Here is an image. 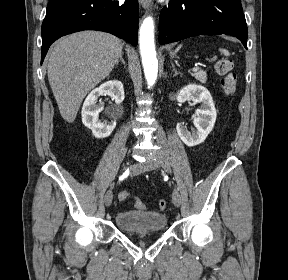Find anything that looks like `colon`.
<instances>
[{"instance_id": "5ec220e1", "label": "colon", "mask_w": 288, "mask_h": 280, "mask_svg": "<svg viewBox=\"0 0 288 280\" xmlns=\"http://www.w3.org/2000/svg\"><path fill=\"white\" fill-rule=\"evenodd\" d=\"M212 62L214 64L215 71L222 77L221 87L224 93L230 95L236 90V75L232 72V62L226 58L212 57ZM130 197V194L123 191L119 194L118 198L120 201H125ZM134 204L138 209H145V204L139 199H134ZM159 210H164L166 208L165 200H160L158 202Z\"/></svg>"}]
</instances>
